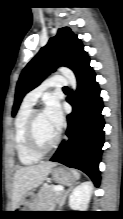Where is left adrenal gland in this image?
Here are the masks:
<instances>
[{"mask_svg":"<svg viewBox=\"0 0 123 219\" xmlns=\"http://www.w3.org/2000/svg\"><path fill=\"white\" fill-rule=\"evenodd\" d=\"M73 189V186H70L66 191L63 192V195L60 199V207L64 205L66 197L68 195V193Z\"/></svg>","mask_w":123,"mask_h":219,"instance_id":"obj_1","label":"left adrenal gland"}]
</instances>
